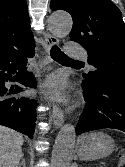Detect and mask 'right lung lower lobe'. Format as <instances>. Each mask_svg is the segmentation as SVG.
<instances>
[{
  "label": "right lung lower lobe",
  "mask_w": 125,
  "mask_h": 167,
  "mask_svg": "<svg viewBox=\"0 0 125 167\" xmlns=\"http://www.w3.org/2000/svg\"><path fill=\"white\" fill-rule=\"evenodd\" d=\"M35 46L12 48L0 55V125L33 137L37 106L36 100L22 96L25 87L35 88L36 80L26 72L27 58L34 56ZM17 81L20 85L7 88L6 81Z\"/></svg>",
  "instance_id": "98d812e1"
}]
</instances>
